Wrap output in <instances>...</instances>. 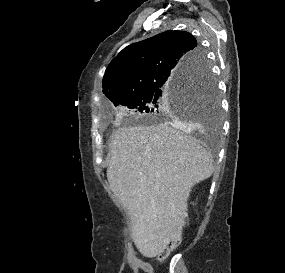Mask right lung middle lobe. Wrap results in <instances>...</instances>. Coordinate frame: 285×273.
<instances>
[{"label":"right lung middle lobe","mask_w":285,"mask_h":273,"mask_svg":"<svg viewBox=\"0 0 285 273\" xmlns=\"http://www.w3.org/2000/svg\"><path fill=\"white\" fill-rule=\"evenodd\" d=\"M120 105L157 118L203 119L214 131L220 126L217 83L207 62L200 72L155 86Z\"/></svg>","instance_id":"right-lung-middle-lobe-1"}]
</instances>
